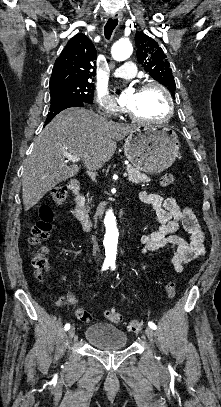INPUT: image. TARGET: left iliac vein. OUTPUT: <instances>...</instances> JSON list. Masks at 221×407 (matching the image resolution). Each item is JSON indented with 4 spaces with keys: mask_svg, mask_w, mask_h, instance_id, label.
I'll return each instance as SVG.
<instances>
[{
    "mask_svg": "<svg viewBox=\"0 0 221 407\" xmlns=\"http://www.w3.org/2000/svg\"><path fill=\"white\" fill-rule=\"evenodd\" d=\"M145 333H146L147 337L149 338V340L153 341V339H154L153 329L151 327H147L145 330Z\"/></svg>",
    "mask_w": 221,
    "mask_h": 407,
    "instance_id": "left-iliac-vein-1",
    "label": "left iliac vein"
}]
</instances>
